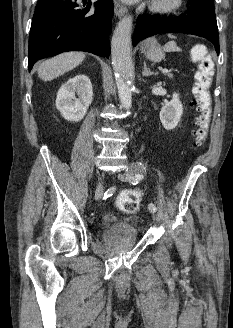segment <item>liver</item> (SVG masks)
<instances>
[{
    "label": "liver",
    "mask_w": 233,
    "mask_h": 328,
    "mask_svg": "<svg viewBox=\"0 0 233 328\" xmlns=\"http://www.w3.org/2000/svg\"><path fill=\"white\" fill-rule=\"evenodd\" d=\"M85 58L82 52H66L44 61L37 69L40 79L53 80L78 66Z\"/></svg>",
    "instance_id": "1"
}]
</instances>
